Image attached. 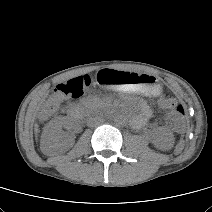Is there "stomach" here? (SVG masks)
<instances>
[{"mask_svg": "<svg viewBox=\"0 0 212 212\" xmlns=\"http://www.w3.org/2000/svg\"><path fill=\"white\" fill-rule=\"evenodd\" d=\"M94 80L99 85L124 92H138L149 96L161 93V86L154 77L128 71H117L111 67L97 71Z\"/></svg>", "mask_w": 212, "mask_h": 212, "instance_id": "1", "label": "stomach"}]
</instances>
